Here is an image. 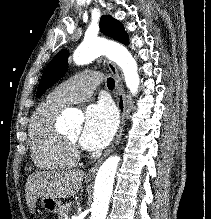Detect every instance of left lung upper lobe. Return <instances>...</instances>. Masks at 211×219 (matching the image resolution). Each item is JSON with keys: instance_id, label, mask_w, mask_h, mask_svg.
<instances>
[{"instance_id": "obj_1", "label": "left lung upper lobe", "mask_w": 211, "mask_h": 219, "mask_svg": "<svg viewBox=\"0 0 211 219\" xmlns=\"http://www.w3.org/2000/svg\"><path fill=\"white\" fill-rule=\"evenodd\" d=\"M100 30L115 40L128 44L127 33L123 25L110 15L100 18ZM69 52L64 49L55 55L46 67L37 90V97H40L49 87L59 80L67 71V59Z\"/></svg>"}]
</instances>
